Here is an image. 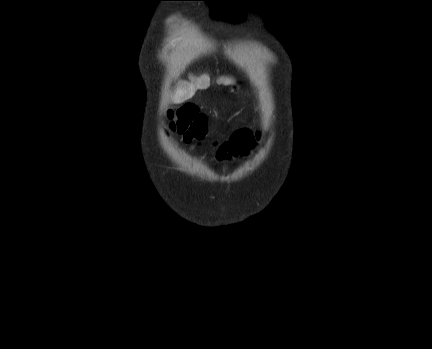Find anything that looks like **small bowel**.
<instances>
[{
	"label": "small bowel",
	"instance_id": "c3829d8e",
	"mask_svg": "<svg viewBox=\"0 0 432 349\" xmlns=\"http://www.w3.org/2000/svg\"><path fill=\"white\" fill-rule=\"evenodd\" d=\"M257 137L258 136L249 129L239 130L221 147L219 156L223 159L246 156L256 146Z\"/></svg>",
	"mask_w": 432,
	"mask_h": 349
}]
</instances>
